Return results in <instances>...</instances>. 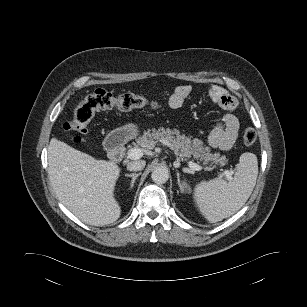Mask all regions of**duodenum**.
<instances>
[{"instance_id":"410a0bca","label":"duodenum","mask_w":307,"mask_h":307,"mask_svg":"<svg viewBox=\"0 0 307 307\" xmlns=\"http://www.w3.org/2000/svg\"><path fill=\"white\" fill-rule=\"evenodd\" d=\"M106 147L110 161H121L125 153L124 134L115 133L111 135L106 141Z\"/></svg>"}]
</instances>
